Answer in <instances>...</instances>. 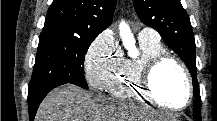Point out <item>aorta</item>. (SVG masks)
<instances>
[{
  "label": "aorta",
  "instance_id": "obj_1",
  "mask_svg": "<svg viewBox=\"0 0 217 121\" xmlns=\"http://www.w3.org/2000/svg\"><path fill=\"white\" fill-rule=\"evenodd\" d=\"M120 37L124 47L128 50L130 56L134 57L137 55V49L135 47L134 36L125 21H121L119 25Z\"/></svg>",
  "mask_w": 217,
  "mask_h": 121
}]
</instances>
